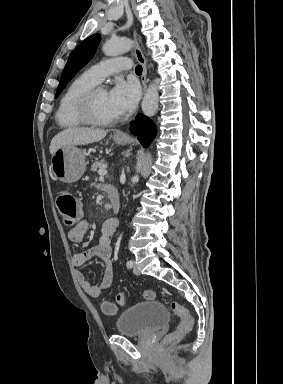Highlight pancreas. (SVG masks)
I'll return each instance as SVG.
<instances>
[{
  "label": "pancreas",
  "instance_id": "cf45deb5",
  "mask_svg": "<svg viewBox=\"0 0 283 384\" xmlns=\"http://www.w3.org/2000/svg\"><path fill=\"white\" fill-rule=\"evenodd\" d=\"M106 164H104V160H99V162H94L92 164L90 170L91 172H97V168H101V170H105Z\"/></svg>",
  "mask_w": 283,
  "mask_h": 384
}]
</instances>
